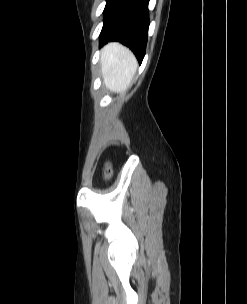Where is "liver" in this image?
<instances>
[{
  "mask_svg": "<svg viewBox=\"0 0 247 304\" xmlns=\"http://www.w3.org/2000/svg\"><path fill=\"white\" fill-rule=\"evenodd\" d=\"M100 63L103 83L115 93L123 92L131 85L138 66L134 54L117 42L102 49Z\"/></svg>",
  "mask_w": 247,
  "mask_h": 304,
  "instance_id": "6515ba94",
  "label": "liver"
}]
</instances>
